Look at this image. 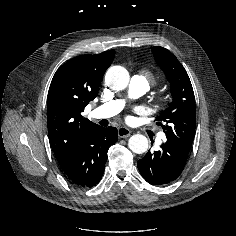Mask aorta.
<instances>
[{"label":"aorta","instance_id":"aorta-1","mask_svg":"<svg viewBox=\"0 0 236 236\" xmlns=\"http://www.w3.org/2000/svg\"><path fill=\"white\" fill-rule=\"evenodd\" d=\"M129 72L121 66L109 68L105 75L106 84L113 90H123L129 83ZM128 146L136 154H143L148 149V139L141 134H135L129 138Z\"/></svg>","mask_w":236,"mask_h":236}]
</instances>
